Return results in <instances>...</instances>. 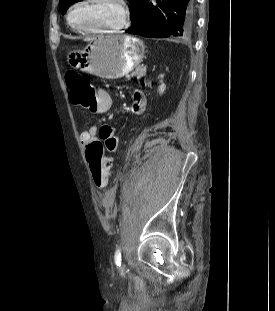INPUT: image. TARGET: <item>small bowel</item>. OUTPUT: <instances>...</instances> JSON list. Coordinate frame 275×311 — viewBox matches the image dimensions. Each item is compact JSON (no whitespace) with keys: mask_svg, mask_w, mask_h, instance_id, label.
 <instances>
[{"mask_svg":"<svg viewBox=\"0 0 275 311\" xmlns=\"http://www.w3.org/2000/svg\"><path fill=\"white\" fill-rule=\"evenodd\" d=\"M133 100V112L139 114L144 107V95L142 91L135 90L132 95ZM111 107V101L109 95L105 91H100L97 98L93 99L86 105V112H92L95 114H102L107 112ZM86 121V118H84ZM117 129L113 125H104L102 127L90 126L89 128H83L80 133V140L83 145H87L92 140H101L104 142L106 148L109 151H115L117 147L116 138Z\"/></svg>","mask_w":275,"mask_h":311,"instance_id":"c3829d8e","label":"small bowel"}]
</instances>
